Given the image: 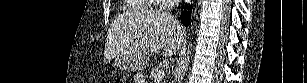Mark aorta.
<instances>
[{
	"instance_id": "1",
	"label": "aorta",
	"mask_w": 307,
	"mask_h": 83,
	"mask_svg": "<svg viewBox=\"0 0 307 83\" xmlns=\"http://www.w3.org/2000/svg\"><path fill=\"white\" fill-rule=\"evenodd\" d=\"M192 47H193V44L191 42H189L188 50H187V52L184 56L183 63L180 67V73H179V80L180 81H182L184 79L186 72L189 68L191 54H192Z\"/></svg>"
}]
</instances>
